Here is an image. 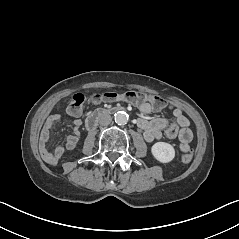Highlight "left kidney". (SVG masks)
Segmentation results:
<instances>
[{
    "label": "left kidney",
    "mask_w": 239,
    "mask_h": 239,
    "mask_svg": "<svg viewBox=\"0 0 239 239\" xmlns=\"http://www.w3.org/2000/svg\"><path fill=\"white\" fill-rule=\"evenodd\" d=\"M151 154L159 163L167 164L175 158V149L167 142H156L151 147Z\"/></svg>",
    "instance_id": "left-kidney-1"
}]
</instances>
